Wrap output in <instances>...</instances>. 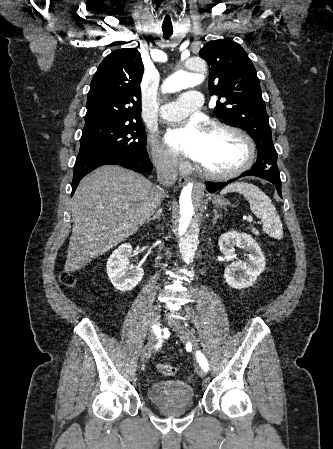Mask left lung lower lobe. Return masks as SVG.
I'll return each instance as SVG.
<instances>
[{
	"mask_svg": "<svg viewBox=\"0 0 333 449\" xmlns=\"http://www.w3.org/2000/svg\"><path fill=\"white\" fill-rule=\"evenodd\" d=\"M249 175L260 177V178H263V179H266V180L270 181L271 183H273L276 186L279 196L282 197V195H281L280 174L279 173H272V172H269L267 170L256 169V168H253V167L251 168V170L243 173L239 177H237V178H235V179H233V180H231L229 182H225V183H207L206 184L207 190L210 193H214L217 190H219V189L223 188L224 186H226L228 183H231V182L239 179L240 177L249 176Z\"/></svg>",
	"mask_w": 333,
	"mask_h": 449,
	"instance_id": "obj_1",
	"label": "left lung lower lobe"
}]
</instances>
